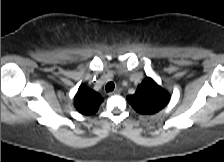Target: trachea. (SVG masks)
I'll return each mask as SVG.
<instances>
[{
  "label": "trachea",
  "instance_id": "3493384b",
  "mask_svg": "<svg viewBox=\"0 0 224 162\" xmlns=\"http://www.w3.org/2000/svg\"><path fill=\"white\" fill-rule=\"evenodd\" d=\"M115 88V84L113 82H108L105 86L106 92H111Z\"/></svg>",
  "mask_w": 224,
  "mask_h": 162
}]
</instances>
